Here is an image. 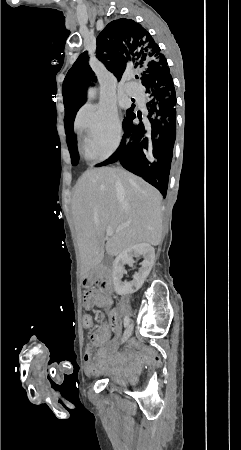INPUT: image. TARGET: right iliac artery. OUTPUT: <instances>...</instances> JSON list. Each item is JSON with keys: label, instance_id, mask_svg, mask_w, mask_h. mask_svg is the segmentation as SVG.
Returning a JSON list of instances; mask_svg holds the SVG:
<instances>
[{"label": "right iliac artery", "instance_id": "obj_1", "mask_svg": "<svg viewBox=\"0 0 241 450\" xmlns=\"http://www.w3.org/2000/svg\"><path fill=\"white\" fill-rule=\"evenodd\" d=\"M128 325H129V318L126 317V318L124 319V327H127Z\"/></svg>", "mask_w": 241, "mask_h": 450}]
</instances>
